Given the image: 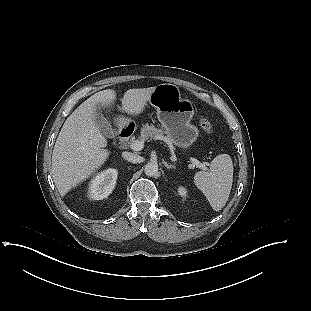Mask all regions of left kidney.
I'll return each mask as SVG.
<instances>
[{"label": "left kidney", "instance_id": "left-kidney-1", "mask_svg": "<svg viewBox=\"0 0 311 311\" xmlns=\"http://www.w3.org/2000/svg\"><path fill=\"white\" fill-rule=\"evenodd\" d=\"M178 192L181 196H186L187 190L184 187H179Z\"/></svg>", "mask_w": 311, "mask_h": 311}]
</instances>
